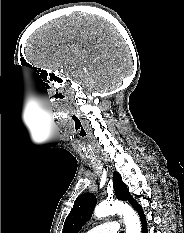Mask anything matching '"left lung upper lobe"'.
Here are the masks:
<instances>
[{
	"label": "left lung upper lobe",
	"mask_w": 184,
	"mask_h": 233,
	"mask_svg": "<svg viewBox=\"0 0 184 233\" xmlns=\"http://www.w3.org/2000/svg\"><path fill=\"white\" fill-rule=\"evenodd\" d=\"M113 187L115 195L119 200L129 201L131 205L135 202L127 186L123 183L120 174L116 171L113 173ZM96 204V197L92 193H84L78 196L66 218L62 233H78L83 225L90 220Z\"/></svg>",
	"instance_id": "5c2ea615"
}]
</instances>
